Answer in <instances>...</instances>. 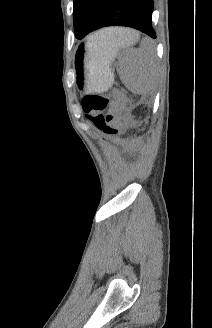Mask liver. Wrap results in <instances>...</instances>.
Here are the masks:
<instances>
[{"instance_id":"obj_1","label":"liver","mask_w":212,"mask_h":328,"mask_svg":"<svg viewBox=\"0 0 212 328\" xmlns=\"http://www.w3.org/2000/svg\"><path fill=\"white\" fill-rule=\"evenodd\" d=\"M108 34L114 45H129L138 39L135 31L125 28H110Z\"/></svg>"}]
</instances>
